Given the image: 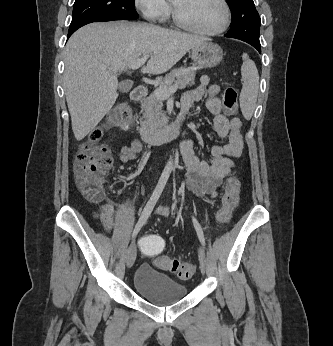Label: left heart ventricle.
I'll list each match as a JSON object with an SVG mask.
<instances>
[{"mask_svg": "<svg viewBox=\"0 0 333 346\" xmlns=\"http://www.w3.org/2000/svg\"><path fill=\"white\" fill-rule=\"evenodd\" d=\"M179 14L192 25L204 29L218 28L224 20L219 0H173Z\"/></svg>", "mask_w": 333, "mask_h": 346, "instance_id": "b2bd125f", "label": "left heart ventricle"}]
</instances>
